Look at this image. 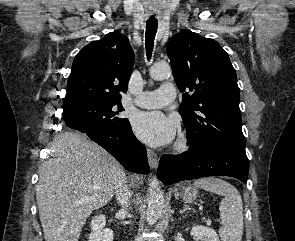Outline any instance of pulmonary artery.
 Segmentation results:
<instances>
[{"instance_id":"obj_1","label":"pulmonary artery","mask_w":295,"mask_h":241,"mask_svg":"<svg viewBox=\"0 0 295 241\" xmlns=\"http://www.w3.org/2000/svg\"><path fill=\"white\" fill-rule=\"evenodd\" d=\"M176 88L172 83H164L155 91H144L134 100L141 108H161L176 98Z\"/></svg>"}]
</instances>
